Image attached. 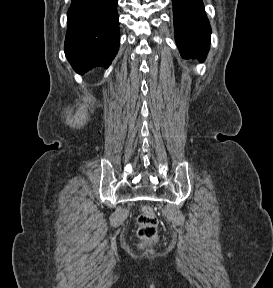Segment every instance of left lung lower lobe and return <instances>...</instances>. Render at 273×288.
I'll list each match as a JSON object with an SVG mask.
<instances>
[{"mask_svg":"<svg viewBox=\"0 0 273 288\" xmlns=\"http://www.w3.org/2000/svg\"><path fill=\"white\" fill-rule=\"evenodd\" d=\"M177 46L185 59L203 62L210 47L211 29L202 0H172Z\"/></svg>","mask_w":273,"mask_h":288,"instance_id":"1","label":"left lung lower lobe"}]
</instances>
